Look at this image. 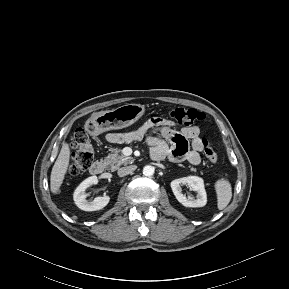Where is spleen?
Segmentation results:
<instances>
[{"label":"spleen","mask_w":289,"mask_h":289,"mask_svg":"<svg viewBox=\"0 0 289 289\" xmlns=\"http://www.w3.org/2000/svg\"><path fill=\"white\" fill-rule=\"evenodd\" d=\"M214 187L217 195V207L219 210H223L232 198L231 184L227 179L221 178L215 182Z\"/></svg>","instance_id":"spleen-1"}]
</instances>
